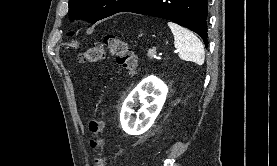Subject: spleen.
Instances as JSON below:
<instances>
[{"label": "spleen", "instance_id": "spleen-1", "mask_svg": "<svg viewBox=\"0 0 277 166\" xmlns=\"http://www.w3.org/2000/svg\"><path fill=\"white\" fill-rule=\"evenodd\" d=\"M168 26L174 35V46L179 51L180 59L202 65L205 52L204 46L198 37L174 22H168Z\"/></svg>", "mask_w": 277, "mask_h": 166}]
</instances>
